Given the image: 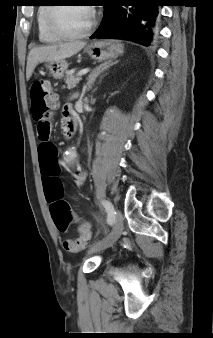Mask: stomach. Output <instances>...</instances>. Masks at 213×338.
I'll return each mask as SVG.
<instances>
[{"label":"stomach","instance_id":"1","mask_svg":"<svg viewBox=\"0 0 213 338\" xmlns=\"http://www.w3.org/2000/svg\"><path fill=\"white\" fill-rule=\"evenodd\" d=\"M123 48V45L118 41L99 40L87 45L85 52L94 60L104 61L121 55ZM45 66L54 79H60L63 77L68 64L65 60L46 61Z\"/></svg>","mask_w":213,"mask_h":338}]
</instances>
